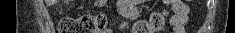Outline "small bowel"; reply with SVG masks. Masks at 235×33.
<instances>
[{"label":"small bowel","mask_w":235,"mask_h":33,"mask_svg":"<svg viewBox=\"0 0 235 33\" xmlns=\"http://www.w3.org/2000/svg\"><path fill=\"white\" fill-rule=\"evenodd\" d=\"M171 6L173 15L170 18V24L174 33H185L188 23V6L180 0H172ZM102 33H112L111 30H106Z\"/></svg>","instance_id":"1"}]
</instances>
